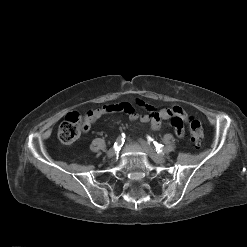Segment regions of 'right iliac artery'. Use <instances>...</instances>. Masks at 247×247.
<instances>
[{
    "label": "right iliac artery",
    "instance_id": "obj_1",
    "mask_svg": "<svg viewBox=\"0 0 247 247\" xmlns=\"http://www.w3.org/2000/svg\"><path fill=\"white\" fill-rule=\"evenodd\" d=\"M125 136L124 134H122L121 136H119L114 144V148L117 150V149H120V147L123 146L124 144V141H125Z\"/></svg>",
    "mask_w": 247,
    "mask_h": 247
}]
</instances>
